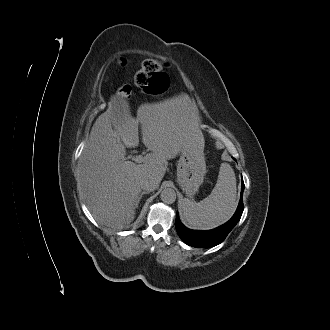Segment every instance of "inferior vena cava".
Returning <instances> with one entry per match:
<instances>
[{
    "label": "inferior vena cava",
    "instance_id": "1",
    "mask_svg": "<svg viewBox=\"0 0 330 330\" xmlns=\"http://www.w3.org/2000/svg\"><path fill=\"white\" fill-rule=\"evenodd\" d=\"M140 185L143 190L151 192L158 187V182L153 176H146L141 180Z\"/></svg>",
    "mask_w": 330,
    "mask_h": 330
}]
</instances>
